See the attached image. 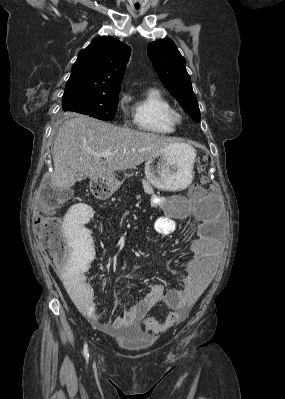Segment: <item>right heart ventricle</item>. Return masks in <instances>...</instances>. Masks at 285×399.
<instances>
[{
    "mask_svg": "<svg viewBox=\"0 0 285 399\" xmlns=\"http://www.w3.org/2000/svg\"><path fill=\"white\" fill-rule=\"evenodd\" d=\"M171 110L167 97L159 89L150 88L134 102L135 125L141 131L170 134L175 130V125L169 120Z\"/></svg>",
    "mask_w": 285,
    "mask_h": 399,
    "instance_id": "1",
    "label": "right heart ventricle"
}]
</instances>
